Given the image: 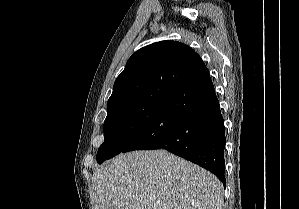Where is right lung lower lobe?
Segmentation results:
<instances>
[{"instance_id":"1","label":"right lung lower lobe","mask_w":299,"mask_h":209,"mask_svg":"<svg viewBox=\"0 0 299 209\" xmlns=\"http://www.w3.org/2000/svg\"><path fill=\"white\" fill-rule=\"evenodd\" d=\"M225 143L219 101L206 71L165 100L122 152L165 149L211 171L225 186Z\"/></svg>"}]
</instances>
